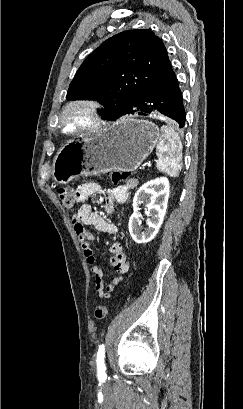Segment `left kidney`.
I'll return each instance as SVG.
<instances>
[{
	"instance_id": "1",
	"label": "left kidney",
	"mask_w": 243,
	"mask_h": 409,
	"mask_svg": "<svg viewBox=\"0 0 243 409\" xmlns=\"http://www.w3.org/2000/svg\"><path fill=\"white\" fill-rule=\"evenodd\" d=\"M170 184L166 177H160L143 184L133 198V214L129 219V232L132 239L140 244L151 241L159 231L167 209ZM146 203L150 218L147 220L148 229L141 231L139 213L140 205Z\"/></svg>"
}]
</instances>
